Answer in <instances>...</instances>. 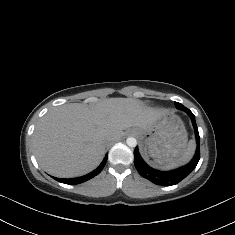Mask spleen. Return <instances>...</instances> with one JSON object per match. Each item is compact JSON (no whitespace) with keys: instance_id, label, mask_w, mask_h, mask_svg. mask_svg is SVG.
Segmentation results:
<instances>
[{"instance_id":"spleen-1","label":"spleen","mask_w":235,"mask_h":235,"mask_svg":"<svg viewBox=\"0 0 235 235\" xmlns=\"http://www.w3.org/2000/svg\"><path fill=\"white\" fill-rule=\"evenodd\" d=\"M194 149H195V143H194V141H190L188 144V147L185 149V151L183 152V154L179 158L168 162L167 164H165L164 166H162L160 168L170 169V168H174L176 166H179V165H182V164L188 162L193 155Z\"/></svg>"}]
</instances>
